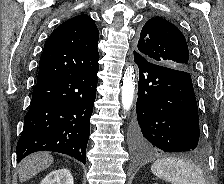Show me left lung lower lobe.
I'll list each match as a JSON object with an SVG mask.
<instances>
[{
  "instance_id": "1",
  "label": "left lung lower lobe",
  "mask_w": 224,
  "mask_h": 184,
  "mask_svg": "<svg viewBox=\"0 0 224 184\" xmlns=\"http://www.w3.org/2000/svg\"><path fill=\"white\" fill-rule=\"evenodd\" d=\"M134 60L139 68L136 147L142 152H202L190 73L153 64L138 54H134Z\"/></svg>"
}]
</instances>
